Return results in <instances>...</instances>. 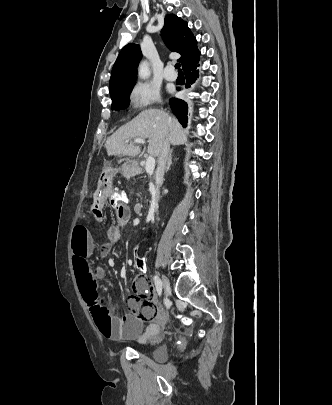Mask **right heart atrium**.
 <instances>
[{
    "mask_svg": "<svg viewBox=\"0 0 332 405\" xmlns=\"http://www.w3.org/2000/svg\"><path fill=\"white\" fill-rule=\"evenodd\" d=\"M129 101L136 110L147 109L161 102L160 92L153 85L140 82L132 87Z\"/></svg>",
    "mask_w": 332,
    "mask_h": 405,
    "instance_id": "d8ad5b80",
    "label": "right heart atrium"
}]
</instances>
